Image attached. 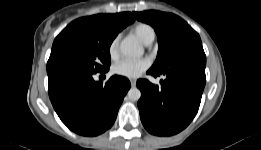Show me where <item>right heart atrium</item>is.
<instances>
[{
    "mask_svg": "<svg viewBox=\"0 0 261 150\" xmlns=\"http://www.w3.org/2000/svg\"><path fill=\"white\" fill-rule=\"evenodd\" d=\"M108 54L111 59H116L119 55V37H114L109 46H108Z\"/></svg>",
    "mask_w": 261,
    "mask_h": 150,
    "instance_id": "obj_1",
    "label": "right heart atrium"
}]
</instances>
